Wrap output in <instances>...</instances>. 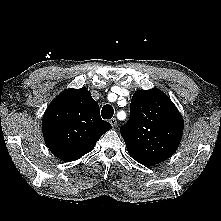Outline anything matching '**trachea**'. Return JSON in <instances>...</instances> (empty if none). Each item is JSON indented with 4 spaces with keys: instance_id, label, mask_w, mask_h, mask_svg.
<instances>
[{
    "instance_id": "obj_1",
    "label": "trachea",
    "mask_w": 221,
    "mask_h": 221,
    "mask_svg": "<svg viewBox=\"0 0 221 221\" xmlns=\"http://www.w3.org/2000/svg\"><path fill=\"white\" fill-rule=\"evenodd\" d=\"M114 114V109L111 105H104L101 111L103 119H111Z\"/></svg>"
}]
</instances>
